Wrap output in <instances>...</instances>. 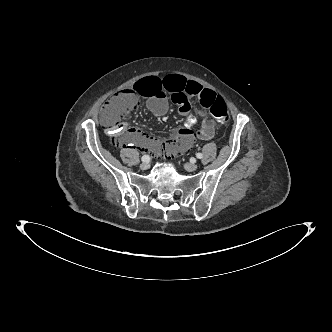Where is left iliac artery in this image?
Here are the masks:
<instances>
[{
	"label": "left iliac artery",
	"instance_id": "obj_1",
	"mask_svg": "<svg viewBox=\"0 0 332 332\" xmlns=\"http://www.w3.org/2000/svg\"><path fill=\"white\" fill-rule=\"evenodd\" d=\"M196 157H197L198 159H201V158L203 157V155H202L201 153H197V154H196Z\"/></svg>",
	"mask_w": 332,
	"mask_h": 332
}]
</instances>
